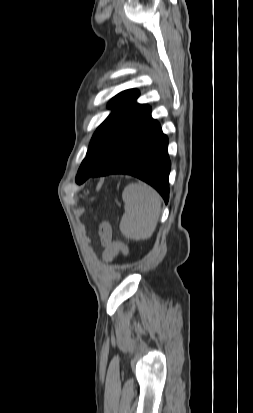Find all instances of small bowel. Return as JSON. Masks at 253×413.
<instances>
[{
    "label": "small bowel",
    "instance_id": "small-bowel-1",
    "mask_svg": "<svg viewBox=\"0 0 253 413\" xmlns=\"http://www.w3.org/2000/svg\"><path fill=\"white\" fill-rule=\"evenodd\" d=\"M103 250V260L111 262L119 254L127 255L128 248L121 242L111 240V232L108 225L104 224L100 231Z\"/></svg>",
    "mask_w": 253,
    "mask_h": 413
}]
</instances>
